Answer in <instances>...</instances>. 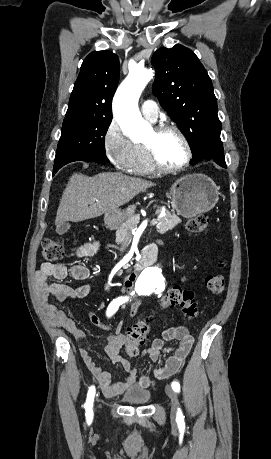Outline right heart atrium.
Wrapping results in <instances>:
<instances>
[{"mask_svg": "<svg viewBox=\"0 0 271 459\" xmlns=\"http://www.w3.org/2000/svg\"><path fill=\"white\" fill-rule=\"evenodd\" d=\"M102 147L107 159L118 169H124L131 153V142L115 120H111L102 135Z\"/></svg>", "mask_w": 271, "mask_h": 459, "instance_id": "d8ad5b80", "label": "right heart atrium"}]
</instances>
